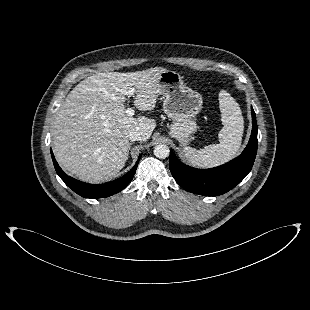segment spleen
<instances>
[{
  "label": "spleen",
  "mask_w": 310,
  "mask_h": 310,
  "mask_svg": "<svg viewBox=\"0 0 310 310\" xmlns=\"http://www.w3.org/2000/svg\"><path fill=\"white\" fill-rule=\"evenodd\" d=\"M219 104L223 124L218 134L219 144H211L200 150L184 148V156L194 166H219L233 159L240 149L244 120L239 104L225 90L219 93Z\"/></svg>",
  "instance_id": "3e777b00"
}]
</instances>
